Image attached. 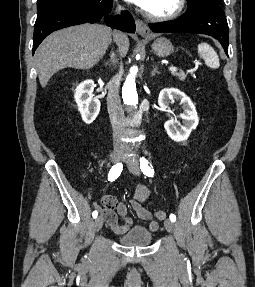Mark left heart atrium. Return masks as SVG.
<instances>
[{
    "instance_id": "obj_1",
    "label": "left heart atrium",
    "mask_w": 255,
    "mask_h": 287,
    "mask_svg": "<svg viewBox=\"0 0 255 287\" xmlns=\"http://www.w3.org/2000/svg\"><path fill=\"white\" fill-rule=\"evenodd\" d=\"M141 5H147L150 0H137Z\"/></svg>"
}]
</instances>
